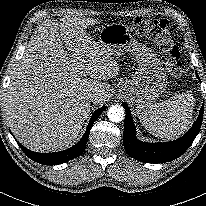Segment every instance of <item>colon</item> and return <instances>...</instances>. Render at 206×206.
Returning <instances> with one entry per match:
<instances>
[{
  "label": "colon",
  "instance_id": "obj_1",
  "mask_svg": "<svg viewBox=\"0 0 206 206\" xmlns=\"http://www.w3.org/2000/svg\"><path fill=\"white\" fill-rule=\"evenodd\" d=\"M132 31L139 36H148L156 42L161 59L171 75L179 77L182 74L181 53L173 41L167 20L136 18L132 23Z\"/></svg>",
  "mask_w": 206,
  "mask_h": 206
}]
</instances>
